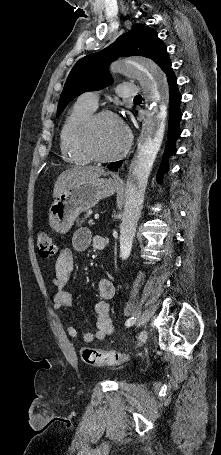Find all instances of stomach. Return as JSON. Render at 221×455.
<instances>
[{
    "label": "stomach",
    "mask_w": 221,
    "mask_h": 455,
    "mask_svg": "<svg viewBox=\"0 0 221 455\" xmlns=\"http://www.w3.org/2000/svg\"><path fill=\"white\" fill-rule=\"evenodd\" d=\"M116 188L113 179L102 177L79 182L67 188L50 206L51 228L58 233L66 234L80 213L89 210L101 199L113 195Z\"/></svg>",
    "instance_id": "obj_1"
}]
</instances>
